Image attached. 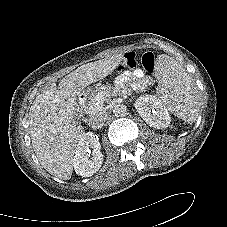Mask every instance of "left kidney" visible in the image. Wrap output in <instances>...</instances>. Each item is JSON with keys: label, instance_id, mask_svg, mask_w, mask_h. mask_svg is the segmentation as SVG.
<instances>
[{"label": "left kidney", "instance_id": "left-kidney-1", "mask_svg": "<svg viewBox=\"0 0 227 227\" xmlns=\"http://www.w3.org/2000/svg\"><path fill=\"white\" fill-rule=\"evenodd\" d=\"M142 119L151 127L164 129L170 125L171 117L163 102L154 95L140 96L134 104Z\"/></svg>", "mask_w": 227, "mask_h": 227}]
</instances>
